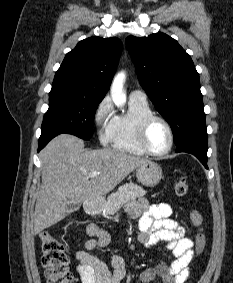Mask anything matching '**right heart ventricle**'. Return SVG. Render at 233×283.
<instances>
[{"mask_svg": "<svg viewBox=\"0 0 233 283\" xmlns=\"http://www.w3.org/2000/svg\"><path fill=\"white\" fill-rule=\"evenodd\" d=\"M152 113L148 103L129 101V109L115 116L111 145L113 149L133 154L144 155L135 138L137 122L145 115Z\"/></svg>", "mask_w": 233, "mask_h": 283, "instance_id": "e07e8e85", "label": "right heart ventricle"}]
</instances>
